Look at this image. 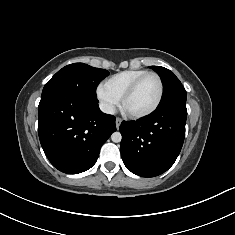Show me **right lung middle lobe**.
<instances>
[{"label":"right lung middle lobe","mask_w":235,"mask_h":235,"mask_svg":"<svg viewBox=\"0 0 235 235\" xmlns=\"http://www.w3.org/2000/svg\"><path fill=\"white\" fill-rule=\"evenodd\" d=\"M108 74L107 70L94 68L84 63L67 65L47 82L41 97L69 93L96 100L97 85Z\"/></svg>","instance_id":"right-lung-middle-lobe-1"}]
</instances>
